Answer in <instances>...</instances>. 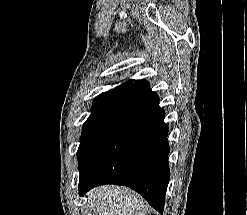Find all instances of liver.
I'll list each match as a JSON object with an SVG mask.
<instances>
[{
  "mask_svg": "<svg viewBox=\"0 0 247 215\" xmlns=\"http://www.w3.org/2000/svg\"><path fill=\"white\" fill-rule=\"evenodd\" d=\"M90 203L100 215H147L146 202L135 192L119 186H102L92 190Z\"/></svg>",
  "mask_w": 247,
  "mask_h": 215,
  "instance_id": "obj_1",
  "label": "liver"
}]
</instances>
